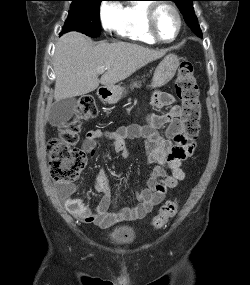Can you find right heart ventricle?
Wrapping results in <instances>:
<instances>
[{"instance_id": "obj_1", "label": "right heart ventricle", "mask_w": 250, "mask_h": 285, "mask_svg": "<svg viewBox=\"0 0 250 285\" xmlns=\"http://www.w3.org/2000/svg\"><path fill=\"white\" fill-rule=\"evenodd\" d=\"M149 5L150 3L140 0L122 7L117 29L120 37L142 44H156V41L148 34L146 26Z\"/></svg>"}]
</instances>
